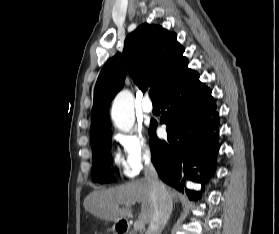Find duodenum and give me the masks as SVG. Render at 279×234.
Listing matches in <instances>:
<instances>
[{"instance_id": "1", "label": "duodenum", "mask_w": 279, "mask_h": 234, "mask_svg": "<svg viewBox=\"0 0 279 234\" xmlns=\"http://www.w3.org/2000/svg\"><path fill=\"white\" fill-rule=\"evenodd\" d=\"M117 229H118L119 234H126L127 231H128L127 224H125V223H121V224L117 227Z\"/></svg>"}]
</instances>
